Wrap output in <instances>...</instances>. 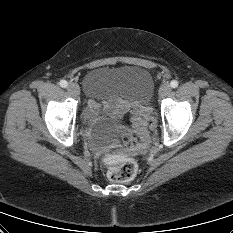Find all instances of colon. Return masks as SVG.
I'll list each match as a JSON object with an SVG mask.
<instances>
[{
    "instance_id": "1",
    "label": "colon",
    "mask_w": 233,
    "mask_h": 233,
    "mask_svg": "<svg viewBox=\"0 0 233 233\" xmlns=\"http://www.w3.org/2000/svg\"><path fill=\"white\" fill-rule=\"evenodd\" d=\"M150 120L149 109L143 108L136 112L133 118V126L138 134L137 148H143L149 141L148 124ZM107 167L108 177L116 182L129 181L136 175L137 164L128 157L109 154L103 158Z\"/></svg>"
}]
</instances>
